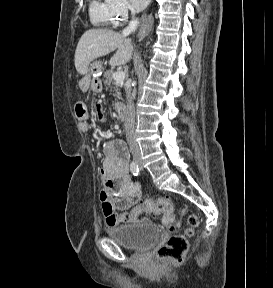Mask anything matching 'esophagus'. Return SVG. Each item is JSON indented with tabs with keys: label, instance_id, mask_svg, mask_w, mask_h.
Instances as JSON below:
<instances>
[{
	"label": "esophagus",
	"instance_id": "1",
	"mask_svg": "<svg viewBox=\"0 0 273 288\" xmlns=\"http://www.w3.org/2000/svg\"><path fill=\"white\" fill-rule=\"evenodd\" d=\"M142 21L144 23L143 32L150 31L153 25V16L152 13L149 15H145L142 17Z\"/></svg>",
	"mask_w": 273,
	"mask_h": 288
}]
</instances>
